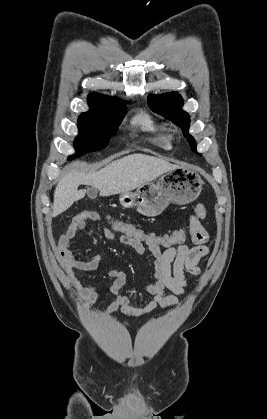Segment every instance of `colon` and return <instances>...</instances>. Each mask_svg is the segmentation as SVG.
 I'll return each instance as SVG.
<instances>
[{
  "mask_svg": "<svg viewBox=\"0 0 267 419\" xmlns=\"http://www.w3.org/2000/svg\"><path fill=\"white\" fill-rule=\"evenodd\" d=\"M206 207L199 204L193 210L192 215L197 218H203L206 215ZM109 229L116 234L119 242L123 245L132 247L143 245L145 247H170L183 242L186 238V229H176L167 234H156L148 232L139 226L122 221L108 218Z\"/></svg>",
  "mask_w": 267,
  "mask_h": 419,
  "instance_id": "colon-1",
  "label": "colon"
}]
</instances>
